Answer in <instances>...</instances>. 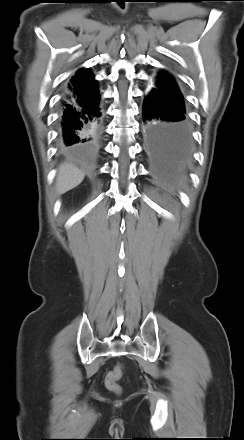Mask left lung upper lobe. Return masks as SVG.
Segmentation results:
<instances>
[{"label":"left lung upper lobe","instance_id":"obj_1","mask_svg":"<svg viewBox=\"0 0 244 440\" xmlns=\"http://www.w3.org/2000/svg\"><path fill=\"white\" fill-rule=\"evenodd\" d=\"M156 87H158L168 97H170V98L178 101L180 104L184 105L183 96H182L174 78L170 74H168L164 71L160 72L157 76Z\"/></svg>","mask_w":244,"mask_h":440}]
</instances>
